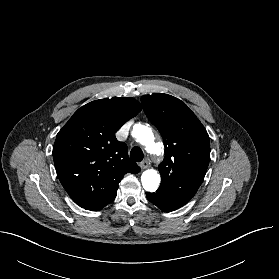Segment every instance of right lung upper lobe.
I'll return each mask as SVG.
<instances>
[{"label": "right lung upper lobe", "instance_id": "cb5924a9", "mask_svg": "<svg viewBox=\"0 0 279 279\" xmlns=\"http://www.w3.org/2000/svg\"><path fill=\"white\" fill-rule=\"evenodd\" d=\"M141 110L131 97L95 100L79 108L57 134L53 146L57 175L80 207L99 211L115 199L126 173L140 172L115 133Z\"/></svg>", "mask_w": 279, "mask_h": 279}]
</instances>
